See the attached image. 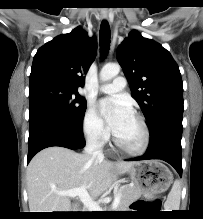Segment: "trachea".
<instances>
[{"label": "trachea", "mask_w": 203, "mask_h": 219, "mask_svg": "<svg viewBox=\"0 0 203 219\" xmlns=\"http://www.w3.org/2000/svg\"><path fill=\"white\" fill-rule=\"evenodd\" d=\"M111 32L107 21H103L100 26L99 41L101 46V54L105 57L110 47Z\"/></svg>", "instance_id": "obj_1"}]
</instances>
